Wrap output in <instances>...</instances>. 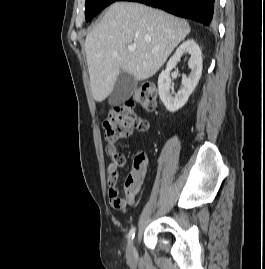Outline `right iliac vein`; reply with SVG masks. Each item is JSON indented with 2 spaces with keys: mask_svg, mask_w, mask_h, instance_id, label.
Listing matches in <instances>:
<instances>
[{
  "mask_svg": "<svg viewBox=\"0 0 265 269\" xmlns=\"http://www.w3.org/2000/svg\"><path fill=\"white\" fill-rule=\"evenodd\" d=\"M135 256H136L135 247L133 243H130L126 250V257L130 262H132L134 261Z\"/></svg>",
  "mask_w": 265,
  "mask_h": 269,
  "instance_id": "1",
  "label": "right iliac vein"
}]
</instances>
